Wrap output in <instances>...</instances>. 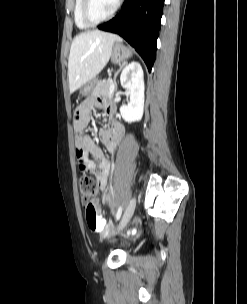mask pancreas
<instances>
[{"instance_id": "1", "label": "pancreas", "mask_w": 247, "mask_h": 304, "mask_svg": "<svg viewBox=\"0 0 247 304\" xmlns=\"http://www.w3.org/2000/svg\"><path fill=\"white\" fill-rule=\"evenodd\" d=\"M112 82L110 80L97 81L93 87L91 95L93 97H104V98H112L114 96V91H110V86Z\"/></svg>"}]
</instances>
